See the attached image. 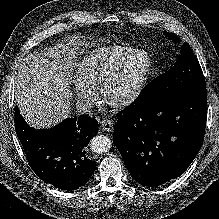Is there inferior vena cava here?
<instances>
[{"mask_svg":"<svg viewBox=\"0 0 219 219\" xmlns=\"http://www.w3.org/2000/svg\"><path fill=\"white\" fill-rule=\"evenodd\" d=\"M93 109V104L87 100H78L76 102V110L80 114H90Z\"/></svg>","mask_w":219,"mask_h":219,"instance_id":"1","label":"inferior vena cava"}]
</instances>
